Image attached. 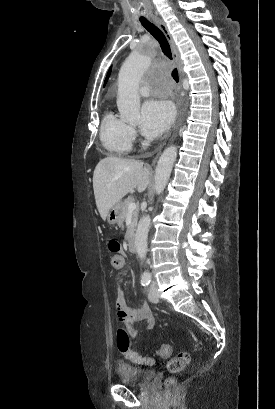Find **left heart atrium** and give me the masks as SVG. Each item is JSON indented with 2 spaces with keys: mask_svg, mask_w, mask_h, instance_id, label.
Returning <instances> with one entry per match:
<instances>
[{
  "mask_svg": "<svg viewBox=\"0 0 275 409\" xmlns=\"http://www.w3.org/2000/svg\"><path fill=\"white\" fill-rule=\"evenodd\" d=\"M174 110L170 102L149 100L142 108L141 128L145 135L157 137L172 123Z\"/></svg>",
  "mask_w": 275,
  "mask_h": 409,
  "instance_id": "1",
  "label": "left heart atrium"
}]
</instances>
